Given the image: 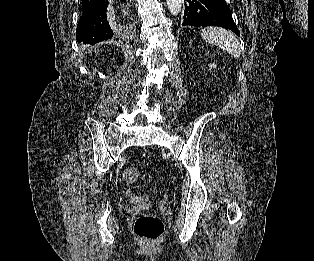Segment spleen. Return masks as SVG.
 <instances>
[{"label": "spleen", "mask_w": 314, "mask_h": 261, "mask_svg": "<svg viewBox=\"0 0 314 261\" xmlns=\"http://www.w3.org/2000/svg\"><path fill=\"white\" fill-rule=\"evenodd\" d=\"M201 37L206 42L227 51L234 58H239L241 55L239 40L226 29L206 27L201 30Z\"/></svg>", "instance_id": "3e777b00"}]
</instances>
